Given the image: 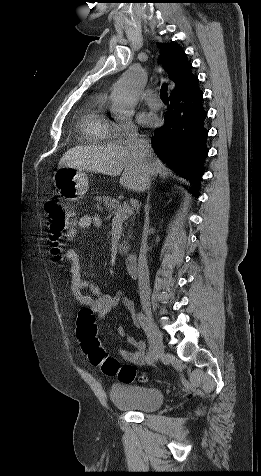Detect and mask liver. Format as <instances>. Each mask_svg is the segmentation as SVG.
Instances as JSON below:
<instances>
[{
  "instance_id": "1",
  "label": "liver",
  "mask_w": 261,
  "mask_h": 476,
  "mask_svg": "<svg viewBox=\"0 0 261 476\" xmlns=\"http://www.w3.org/2000/svg\"><path fill=\"white\" fill-rule=\"evenodd\" d=\"M152 176L166 178L172 172L151 151ZM69 167L120 176L119 183L135 192L144 191L145 174L143 163L133 155L126 144H107L101 146H77L69 149L60 159L58 168Z\"/></svg>"
}]
</instances>
